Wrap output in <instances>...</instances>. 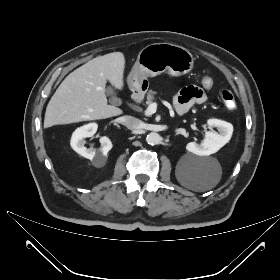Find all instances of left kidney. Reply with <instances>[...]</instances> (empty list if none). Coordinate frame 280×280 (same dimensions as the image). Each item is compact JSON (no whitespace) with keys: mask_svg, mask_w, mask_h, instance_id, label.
I'll list each match as a JSON object with an SVG mask.
<instances>
[{"mask_svg":"<svg viewBox=\"0 0 280 280\" xmlns=\"http://www.w3.org/2000/svg\"><path fill=\"white\" fill-rule=\"evenodd\" d=\"M207 124L211 130L205 133L203 142L201 144L189 142L186 145L187 151L199 156H209L229 142L233 133L231 123L219 119H209ZM213 128H217L218 132Z\"/></svg>","mask_w":280,"mask_h":280,"instance_id":"left-kidney-1","label":"left kidney"}]
</instances>
